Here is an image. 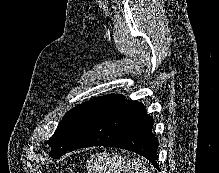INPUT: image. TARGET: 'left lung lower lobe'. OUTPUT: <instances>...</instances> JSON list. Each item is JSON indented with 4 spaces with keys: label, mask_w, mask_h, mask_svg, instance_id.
Listing matches in <instances>:
<instances>
[{
    "label": "left lung lower lobe",
    "mask_w": 219,
    "mask_h": 173,
    "mask_svg": "<svg viewBox=\"0 0 219 173\" xmlns=\"http://www.w3.org/2000/svg\"><path fill=\"white\" fill-rule=\"evenodd\" d=\"M152 127L153 118L146 114L142 103L116 95L97 111L63 154L90 146L117 147L144 156L159 169L156 161L158 140L151 132Z\"/></svg>",
    "instance_id": "obj_1"
}]
</instances>
